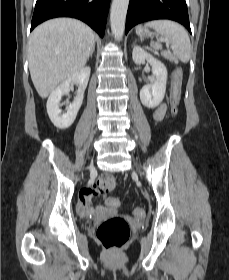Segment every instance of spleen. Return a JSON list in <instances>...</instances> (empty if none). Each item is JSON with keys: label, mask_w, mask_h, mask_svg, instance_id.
<instances>
[{"label": "spleen", "mask_w": 229, "mask_h": 280, "mask_svg": "<svg viewBox=\"0 0 229 280\" xmlns=\"http://www.w3.org/2000/svg\"><path fill=\"white\" fill-rule=\"evenodd\" d=\"M156 31L158 35L164 39H157L156 42L151 41L150 45L154 49H162V41L171 44L174 56L183 63H187L190 59L191 44L187 31L178 23L170 20H154L145 24Z\"/></svg>", "instance_id": "obj_1"}]
</instances>
